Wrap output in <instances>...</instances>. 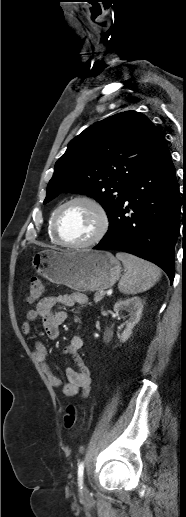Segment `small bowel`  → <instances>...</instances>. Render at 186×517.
<instances>
[{"label": "small bowel", "mask_w": 186, "mask_h": 517, "mask_svg": "<svg viewBox=\"0 0 186 517\" xmlns=\"http://www.w3.org/2000/svg\"><path fill=\"white\" fill-rule=\"evenodd\" d=\"M64 306H86L88 298L82 293H69L57 296H48L43 298L35 308L28 311L26 320L22 324V331L29 335L32 332V323L41 319L44 331L49 339L56 340L59 337V327L66 321L67 313L65 311H54L57 305ZM83 346V340L80 336L74 335L70 339L69 344L64 348L63 353L70 356L77 370L68 367L66 369L67 381L64 382L46 363L47 349L45 345L37 341L34 346V355L39 362L43 373L45 374L49 384L54 388H60L65 396H76L79 391L84 398L90 394L92 386V375L86 366L79 351Z\"/></svg>", "instance_id": "c3829d8e"}]
</instances>
